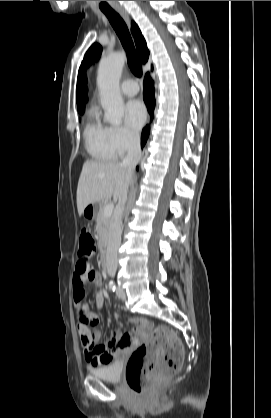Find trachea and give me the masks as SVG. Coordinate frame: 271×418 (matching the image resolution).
Returning a JSON list of instances; mask_svg holds the SVG:
<instances>
[{"mask_svg": "<svg viewBox=\"0 0 271 418\" xmlns=\"http://www.w3.org/2000/svg\"><path fill=\"white\" fill-rule=\"evenodd\" d=\"M102 12L109 19L112 27L117 33L126 53H127V62L132 73L137 76H142V66L139 62L135 47L130 36L128 27L120 15L113 9H103Z\"/></svg>", "mask_w": 271, "mask_h": 418, "instance_id": "trachea-1", "label": "trachea"}]
</instances>
